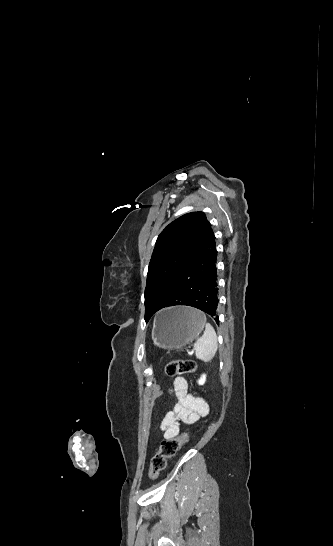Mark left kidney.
Here are the masks:
<instances>
[{
    "label": "left kidney",
    "instance_id": "obj_1",
    "mask_svg": "<svg viewBox=\"0 0 333 546\" xmlns=\"http://www.w3.org/2000/svg\"><path fill=\"white\" fill-rule=\"evenodd\" d=\"M205 381H206V375L203 374V375L201 376V378L199 379L198 383L202 385V384H204Z\"/></svg>",
    "mask_w": 333,
    "mask_h": 546
}]
</instances>
